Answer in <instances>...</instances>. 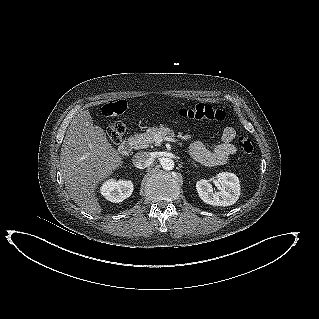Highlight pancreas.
I'll return each mask as SVG.
<instances>
[{
    "label": "pancreas",
    "instance_id": "cf45deb5",
    "mask_svg": "<svg viewBox=\"0 0 319 319\" xmlns=\"http://www.w3.org/2000/svg\"><path fill=\"white\" fill-rule=\"evenodd\" d=\"M159 134L160 136H166V135H171L174 136V132L172 129L168 128V127H151L148 128L146 130V132L142 133V134H137L134 136L133 138V148L134 149H143V148H147L148 146H150L151 143H153L155 141V135ZM178 138L187 141L191 138L190 135L185 134L183 135L182 132H179Z\"/></svg>",
    "mask_w": 319,
    "mask_h": 319
}]
</instances>
